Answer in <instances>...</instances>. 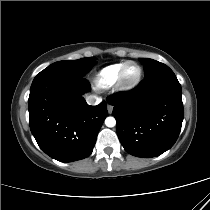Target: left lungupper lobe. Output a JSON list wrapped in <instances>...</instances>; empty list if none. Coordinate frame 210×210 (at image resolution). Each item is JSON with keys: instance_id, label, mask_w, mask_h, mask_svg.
<instances>
[{"instance_id": "5c2ea615", "label": "left lung upper lobe", "mask_w": 210, "mask_h": 210, "mask_svg": "<svg viewBox=\"0 0 210 210\" xmlns=\"http://www.w3.org/2000/svg\"><path fill=\"white\" fill-rule=\"evenodd\" d=\"M139 61L144 65L145 78L168 67L167 65L153 59L139 58Z\"/></svg>"}]
</instances>
